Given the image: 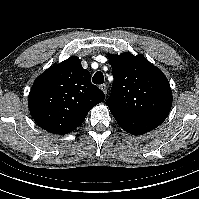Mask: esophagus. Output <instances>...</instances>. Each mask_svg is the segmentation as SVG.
Segmentation results:
<instances>
[{
	"mask_svg": "<svg viewBox=\"0 0 199 199\" xmlns=\"http://www.w3.org/2000/svg\"><path fill=\"white\" fill-rule=\"evenodd\" d=\"M99 88L106 94L107 93V85L106 84H101Z\"/></svg>",
	"mask_w": 199,
	"mask_h": 199,
	"instance_id": "34e87169",
	"label": "esophagus"
}]
</instances>
